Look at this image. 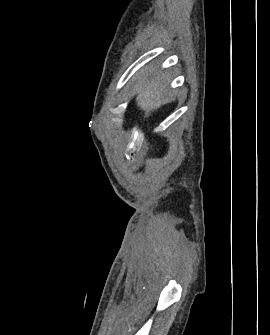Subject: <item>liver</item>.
<instances>
[{"label": "liver", "mask_w": 270, "mask_h": 335, "mask_svg": "<svg viewBox=\"0 0 270 335\" xmlns=\"http://www.w3.org/2000/svg\"><path fill=\"white\" fill-rule=\"evenodd\" d=\"M134 94H136V102L139 108L145 112V116H149L154 110L161 108L163 104H169L173 98H164L166 96L164 86L160 82V78L154 80H144L141 78L134 86Z\"/></svg>", "instance_id": "6515ba94"}]
</instances>
